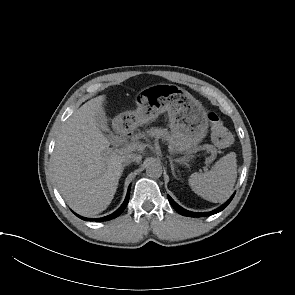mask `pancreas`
I'll return each instance as SVG.
<instances>
[{"label": "pancreas", "mask_w": 295, "mask_h": 295, "mask_svg": "<svg viewBox=\"0 0 295 295\" xmlns=\"http://www.w3.org/2000/svg\"><path fill=\"white\" fill-rule=\"evenodd\" d=\"M148 135L151 137H155L157 139H162L164 141L168 142V146L170 150L174 152H178L179 150V144L176 141V139L167 131V129L163 128H151L147 131ZM203 149H206L208 152H211L212 156H216L217 149L213 145H204Z\"/></svg>", "instance_id": "obj_1"}]
</instances>
